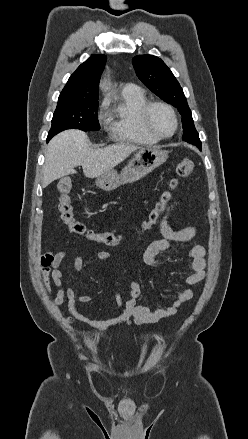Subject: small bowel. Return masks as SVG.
Instances as JSON below:
<instances>
[{"instance_id":"small-bowel-1","label":"small bowel","mask_w":248,"mask_h":439,"mask_svg":"<svg viewBox=\"0 0 248 439\" xmlns=\"http://www.w3.org/2000/svg\"><path fill=\"white\" fill-rule=\"evenodd\" d=\"M181 204L180 201H174L168 206L158 224L161 238L152 241L146 247L143 254V261L149 267H155L158 264L157 256L163 252L182 255L191 260L187 266L189 274L181 280L185 287L176 290H166L175 296L174 302L166 308L152 309L138 305L137 300L141 295V287L137 281H133L129 289V299L125 303L120 294L115 295L118 306V313L115 317L106 320L90 319L79 310L77 304L90 303L93 301V297L80 294L73 288H64L63 271L60 268L63 260L66 257L71 256L73 260V271L78 273L83 268L82 257L64 250L56 252L51 251L41 255L40 271L43 286L48 293L51 292L52 286L57 288V293L54 297V304L55 306L60 307L66 303L69 313L66 319L69 322L78 320L96 330H106L119 324L136 326L152 324L161 319L174 316L181 307L193 298L194 291L191 287L198 286L205 277L207 251L201 245H195L187 250H180L177 248L176 244L191 242L197 233V228L195 226H188L180 230H174L170 226L168 218L171 212ZM96 256L104 263L109 262L111 259L110 254L104 250H98Z\"/></svg>"}]
</instances>
